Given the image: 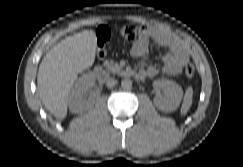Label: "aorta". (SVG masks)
<instances>
[{
	"label": "aorta",
	"instance_id": "1",
	"mask_svg": "<svg viewBox=\"0 0 243 167\" xmlns=\"http://www.w3.org/2000/svg\"><path fill=\"white\" fill-rule=\"evenodd\" d=\"M121 86L124 89H130L132 87V81L128 78L123 79L121 82Z\"/></svg>",
	"mask_w": 243,
	"mask_h": 167
}]
</instances>
